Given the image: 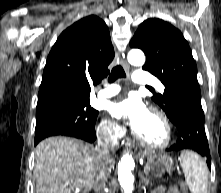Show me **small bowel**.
Instances as JSON below:
<instances>
[{"mask_svg":"<svg viewBox=\"0 0 221 193\" xmlns=\"http://www.w3.org/2000/svg\"><path fill=\"white\" fill-rule=\"evenodd\" d=\"M154 193H179V192H178L177 188L171 187L168 190L157 189L156 191H154Z\"/></svg>","mask_w":221,"mask_h":193,"instance_id":"c3829d8e","label":"small bowel"}]
</instances>
